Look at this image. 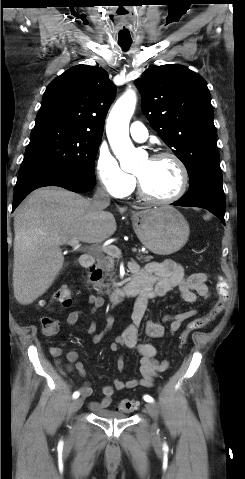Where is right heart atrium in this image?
I'll return each mask as SVG.
<instances>
[{"label": "right heart atrium", "mask_w": 245, "mask_h": 479, "mask_svg": "<svg viewBox=\"0 0 245 479\" xmlns=\"http://www.w3.org/2000/svg\"><path fill=\"white\" fill-rule=\"evenodd\" d=\"M96 173L101 186L112 197L128 195L135 183L134 177L121 169L115 156L104 146L97 154Z\"/></svg>", "instance_id": "d8ad5b80"}]
</instances>
